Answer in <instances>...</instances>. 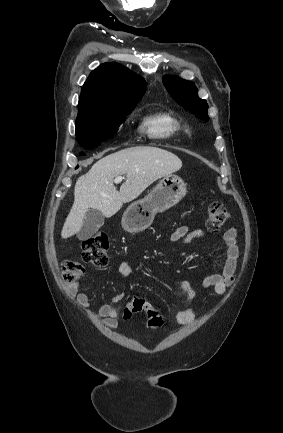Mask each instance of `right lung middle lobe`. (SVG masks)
Returning <instances> with one entry per match:
<instances>
[{"label": "right lung middle lobe", "mask_w": 283, "mask_h": 433, "mask_svg": "<svg viewBox=\"0 0 283 433\" xmlns=\"http://www.w3.org/2000/svg\"><path fill=\"white\" fill-rule=\"evenodd\" d=\"M133 109L134 106L79 111L76 119L79 144L87 149L97 147L118 130L125 121L126 114Z\"/></svg>", "instance_id": "dd1d6c3e"}]
</instances>
